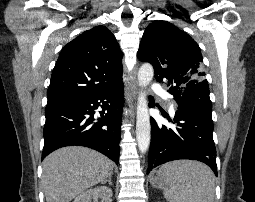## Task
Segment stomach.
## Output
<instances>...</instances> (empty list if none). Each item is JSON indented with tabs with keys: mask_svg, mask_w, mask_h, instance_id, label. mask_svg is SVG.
Here are the masks:
<instances>
[{
	"mask_svg": "<svg viewBox=\"0 0 255 202\" xmlns=\"http://www.w3.org/2000/svg\"><path fill=\"white\" fill-rule=\"evenodd\" d=\"M150 183L154 188L165 189V182L162 177L159 175V172H155L150 177Z\"/></svg>",
	"mask_w": 255,
	"mask_h": 202,
	"instance_id": "stomach-1",
	"label": "stomach"
}]
</instances>
